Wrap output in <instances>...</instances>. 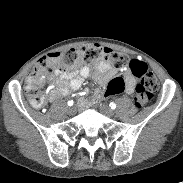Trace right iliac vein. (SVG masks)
<instances>
[{
    "label": "right iliac vein",
    "instance_id": "right-iliac-vein-1",
    "mask_svg": "<svg viewBox=\"0 0 183 183\" xmlns=\"http://www.w3.org/2000/svg\"><path fill=\"white\" fill-rule=\"evenodd\" d=\"M69 112H70V113H73V112H75V109H74L73 107H70V108H69Z\"/></svg>",
    "mask_w": 183,
    "mask_h": 183
}]
</instances>
